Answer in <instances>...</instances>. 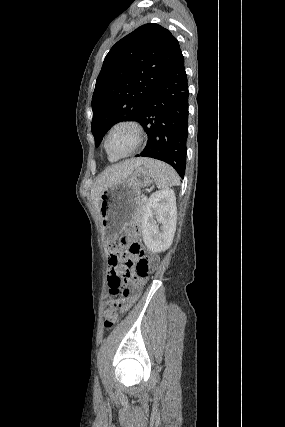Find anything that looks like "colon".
Returning <instances> with one entry per match:
<instances>
[{"label": "colon", "mask_w": 285, "mask_h": 427, "mask_svg": "<svg viewBox=\"0 0 285 427\" xmlns=\"http://www.w3.org/2000/svg\"><path fill=\"white\" fill-rule=\"evenodd\" d=\"M138 230L127 229L110 247V255L119 258L120 253L128 248L129 260L123 263L119 260L122 270H132L129 283H125L122 274L108 275L112 295L108 298V310L104 322L106 329H111L117 321V310L125 302L133 301L139 294L141 286L147 280L152 270V258L147 255L137 241Z\"/></svg>", "instance_id": "colon-1"}]
</instances>
